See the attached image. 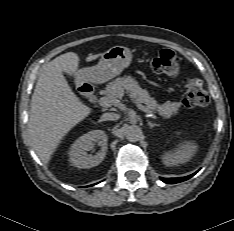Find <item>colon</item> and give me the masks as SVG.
Returning a JSON list of instances; mask_svg holds the SVG:
<instances>
[{"instance_id": "1", "label": "colon", "mask_w": 234, "mask_h": 231, "mask_svg": "<svg viewBox=\"0 0 234 231\" xmlns=\"http://www.w3.org/2000/svg\"><path fill=\"white\" fill-rule=\"evenodd\" d=\"M151 67L157 73L176 76L180 69L179 58L171 50H162L152 59ZM182 103L187 108L204 107L209 103V96L200 80L195 78L188 80Z\"/></svg>"}]
</instances>
